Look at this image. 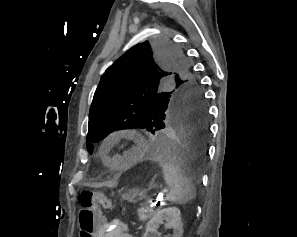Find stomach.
<instances>
[{"mask_svg":"<svg viewBox=\"0 0 297 237\" xmlns=\"http://www.w3.org/2000/svg\"><path fill=\"white\" fill-rule=\"evenodd\" d=\"M155 185L151 184L150 188H153ZM146 197V190L144 189H138V188H134L128 191V193H126L123 196V199L129 201V202H133L136 198L138 200H142Z\"/></svg>","mask_w":297,"mask_h":237,"instance_id":"0dacf381","label":"stomach"}]
</instances>
